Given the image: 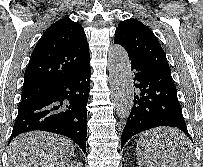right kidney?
<instances>
[{"label":"right kidney","instance_id":"right-kidney-1","mask_svg":"<svg viewBox=\"0 0 203 167\" xmlns=\"http://www.w3.org/2000/svg\"><path fill=\"white\" fill-rule=\"evenodd\" d=\"M67 167H82V164L81 162L74 161L71 164H69Z\"/></svg>","mask_w":203,"mask_h":167}]
</instances>
